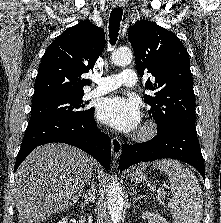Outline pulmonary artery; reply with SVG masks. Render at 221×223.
<instances>
[{
    "instance_id": "1",
    "label": "pulmonary artery",
    "mask_w": 221,
    "mask_h": 223,
    "mask_svg": "<svg viewBox=\"0 0 221 223\" xmlns=\"http://www.w3.org/2000/svg\"><path fill=\"white\" fill-rule=\"evenodd\" d=\"M94 81L97 87L91 92L92 95L98 96L110 92L121 85L134 86L137 83L136 71L127 68L118 74L108 75L104 77H96Z\"/></svg>"
}]
</instances>
